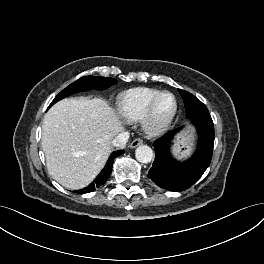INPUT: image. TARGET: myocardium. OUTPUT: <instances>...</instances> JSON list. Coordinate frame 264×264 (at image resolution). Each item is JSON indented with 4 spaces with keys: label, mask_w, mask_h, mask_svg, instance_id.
I'll use <instances>...</instances> for the list:
<instances>
[{
    "label": "myocardium",
    "mask_w": 264,
    "mask_h": 264,
    "mask_svg": "<svg viewBox=\"0 0 264 264\" xmlns=\"http://www.w3.org/2000/svg\"><path fill=\"white\" fill-rule=\"evenodd\" d=\"M165 96H171L174 101V108L172 112L164 119H158L156 110L159 102ZM178 111V102L175 95L171 92H162L150 103L146 113L141 119L143 131L151 137L160 136L165 133L172 124Z\"/></svg>",
    "instance_id": "myocardium-1"
}]
</instances>
